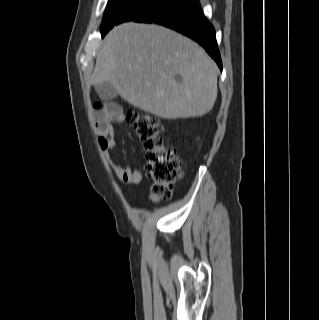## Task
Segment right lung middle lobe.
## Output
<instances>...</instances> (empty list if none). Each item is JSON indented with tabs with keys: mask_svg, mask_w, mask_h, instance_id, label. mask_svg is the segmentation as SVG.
<instances>
[{
	"mask_svg": "<svg viewBox=\"0 0 319 320\" xmlns=\"http://www.w3.org/2000/svg\"><path fill=\"white\" fill-rule=\"evenodd\" d=\"M176 0H109L103 16L101 33L109 31L114 24L135 20L140 16L167 7Z\"/></svg>",
	"mask_w": 319,
	"mask_h": 320,
	"instance_id": "1",
	"label": "right lung middle lobe"
}]
</instances>
